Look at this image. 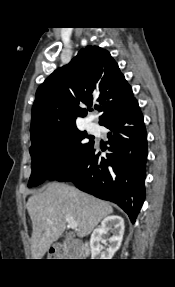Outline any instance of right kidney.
<instances>
[{
  "instance_id": "1",
  "label": "right kidney",
  "mask_w": 175,
  "mask_h": 287,
  "mask_svg": "<svg viewBox=\"0 0 175 287\" xmlns=\"http://www.w3.org/2000/svg\"><path fill=\"white\" fill-rule=\"evenodd\" d=\"M124 220L120 216H108L104 218L96 228L90 239L92 259H112L115 252L120 248L123 234H124ZM111 231L112 235L109 237V246L102 251L100 244L101 237Z\"/></svg>"
}]
</instances>
